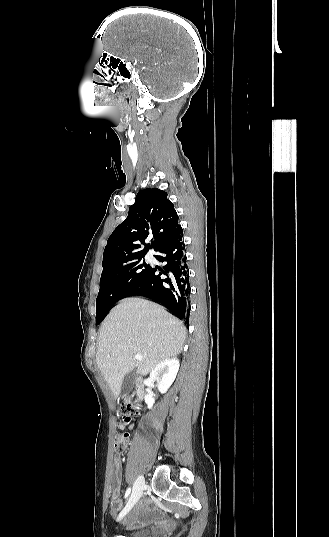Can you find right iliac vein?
<instances>
[{"label":"right iliac vein","instance_id":"1","mask_svg":"<svg viewBox=\"0 0 329 537\" xmlns=\"http://www.w3.org/2000/svg\"><path fill=\"white\" fill-rule=\"evenodd\" d=\"M144 486H145L144 477L142 475H140L136 479V481L134 483V486H133L131 496H130L126 506L124 507L122 512L119 514V516L117 518V521H120L131 510V508L134 506V504H136V502L140 499V497L142 496L143 490H144Z\"/></svg>","mask_w":329,"mask_h":537}]
</instances>
